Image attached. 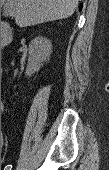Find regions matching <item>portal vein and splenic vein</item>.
Returning a JSON list of instances; mask_svg holds the SVG:
<instances>
[{"label": "portal vein and splenic vein", "instance_id": "18ae733b", "mask_svg": "<svg viewBox=\"0 0 109 170\" xmlns=\"http://www.w3.org/2000/svg\"><path fill=\"white\" fill-rule=\"evenodd\" d=\"M3 2L5 0H2ZM5 12L7 13V15H9L10 17H14L15 16V10L12 9V7L8 6L5 10Z\"/></svg>", "mask_w": 109, "mask_h": 170}]
</instances>
